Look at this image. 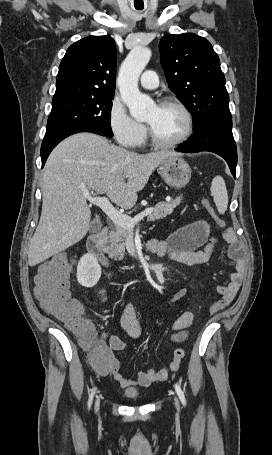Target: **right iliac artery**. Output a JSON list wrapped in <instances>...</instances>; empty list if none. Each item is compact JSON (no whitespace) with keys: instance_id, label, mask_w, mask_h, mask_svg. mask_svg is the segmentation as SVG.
I'll list each match as a JSON object with an SVG mask.
<instances>
[{"instance_id":"obj_1","label":"right iliac artery","mask_w":272,"mask_h":455,"mask_svg":"<svg viewBox=\"0 0 272 455\" xmlns=\"http://www.w3.org/2000/svg\"><path fill=\"white\" fill-rule=\"evenodd\" d=\"M94 393H95V388L92 390V393H91L90 396H89L88 408H90V406H91V404H92V399H93Z\"/></svg>"}]
</instances>
